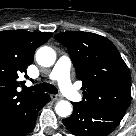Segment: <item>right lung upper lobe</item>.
Here are the masks:
<instances>
[{
    "instance_id": "right-lung-upper-lobe-1",
    "label": "right lung upper lobe",
    "mask_w": 136,
    "mask_h": 136,
    "mask_svg": "<svg viewBox=\"0 0 136 136\" xmlns=\"http://www.w3.org/2000/svg\"><path fill=\"white\" fill-rule=\"evenodd\" d=\"M52 33L5 30L0 32V129L20 120L33 100L41 93L18 92L24 81L18 76L25 73L34 60L35 50Z\"/></svg>"
}]
</instances>
